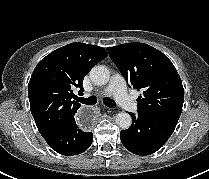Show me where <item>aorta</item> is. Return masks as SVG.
<instances>
[{
    "label": "aorta",
    "instance_id": "762f6f07",
    "mask_svg": "<svg viewBox=\"0 0 209 179\" xmlns=\"http://www.w3.org/2000/svg\"><path fill=\"white\" fill-rule=\"evenodd\" d=\"M90 79L96 85H105L109 82L110 72L103 65L94 66L90 71ZM115 120L122 129H128L132 123L131 116L126 112L118 113Z\"/></svg>",
    "mask_w": 209,
    "mask_h": 179
}]
</instances>
